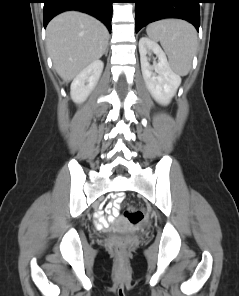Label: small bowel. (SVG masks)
Returning <instances> with one entry per match:
<instances>
[{"instance_id": "1", "label": "small bowel", "mask_w": 239, "mask_h": 296, "mask_svg": "<svg viewBox=\"0 0 239 296\" xmlns=\"http://www.w3.org/2000/svg\"><path fill=\"white\" fill-rule=\"evenodd\" d=\"M119 202H120V199H119V197H117L114 202H112V203H110V204H108L106 206L105 211H106L107 217H105L102 214H99V218H100V220L102 221L103 224L112 222L113 219L116 216H118V214H119V211H118Z\"/></svg>"}]
</instances>
